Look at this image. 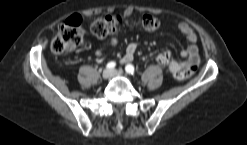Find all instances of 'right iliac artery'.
<instances>
[{"instance_id":"obj_1","label":"right iliac artery","mask_w":247,"mask_h":145,"mask_svg":"<svg viewBox=\"0 0 247 145\" xmlns=\"http://www.w3.org/2000/svg\"><path fill=\"white\" fill-rule=\"evenodd\" d=\"M115 66H116V63L113 62V61H111V62H109V63L107 64V68H109V69H113Z\"/></svg>"}]
</instances>
